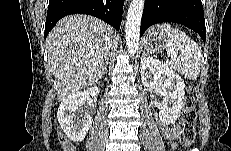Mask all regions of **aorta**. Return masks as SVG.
<instances>
[{
    "instance_id": "1",
    "label": "aorta",
    "mask_w": 231,
    "mask_h": 151,
    "mask_svg": "<svg viewBox=\"0 0 231 151\" xmlns=\"http://www.w3.org/2000/svg\"><path fill=\"white\" fill-rule=\"evenodd\" d=\"M144 0H132L127 12L125 33L126 47L130 55L139 49L140 24L143 14Z\"/></svg>"
}]
</instances>
